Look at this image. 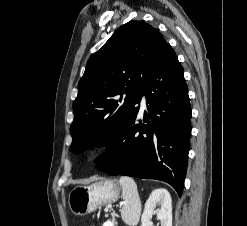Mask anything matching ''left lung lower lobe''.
Segmentation results:
<instances>
[{"mask_svg": "<svg viewBox=\"0 0 247 226\" xmlns=\"http://www.w3.org/2000/svg\"><path fill=\"white\" fill-rule=\"evenodd\" d=\"M146 96L144 122L136 123L141 97ZM191 136V107L181 63L167 43L137 98L133 113L115 141L100 155L96 168L110 175L157 179L181 196Z\"/></svg>", "mask_w": 247, "mask_h": 226, "instance_id": "0a47b994", "label": "left lung lower lobe"}]
</instances>
